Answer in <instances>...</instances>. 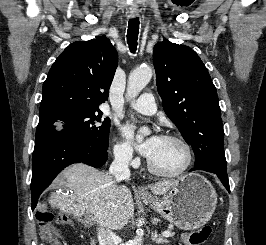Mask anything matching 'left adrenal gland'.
I'll return each mask as SVG.
<instances>
[{
	"instance_id": "1",
	"label": "left adrenal gland",
	"mask_w": 266,
	"mask_h": 245,
	"mask_svg": "<svg viewBox=\"0 0 266 245\" xmlns=\"http://www.w3.org/2000/svg\"><path fill=\"white\" fill-rule=\"evenodd\" d=\"M152 239H153V241H155V243H157V245H167V243H169V241H167V239H163V237H159V235H157L156 231H155V233H152Z\"/></svg>"
}]
</instances>
